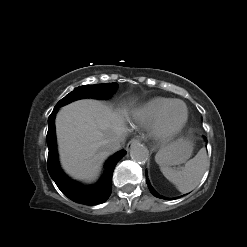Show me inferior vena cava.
<instances>
[{
  "label": "inferior vena cava",
  "instance_id": "obj_1",
  "mask_svg": "<svg viewBox=\"0 0 247 247\" xmlns=\"http://www.w3.org/2000/svg\"><path fill=\"white\" fill-rule=\"evenodd\" d=\"M123 141H124L123 137H116V138L110 140L106 145L107 151L109 153H113V152L118 151L120 149Z\"/></svg>",
  "mask_w": 247,
  "mask_h": 247
}]
</instances>
